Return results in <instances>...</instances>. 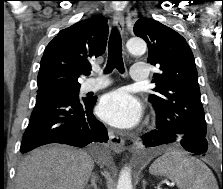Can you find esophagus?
<instances>
[{
	"label": "esophagus",
	"instance_id": "1",
	"mask_svg": "<svg viewBox=\"0 0 223 189\" xmlns=\"http://www.w3.org/2000/svg\"><path fill=\"white\" fill-rule=\"evenodd\" d=\"M113 24L120 33L124 32V17L121 11H116L113 15ZM109 140L113 151L116 153L125 152V142L122 138L116 135L112 130H109Z\"/></svg>",
	"mask_w": 223,
	"mask_h": 189
}]
</instances>
